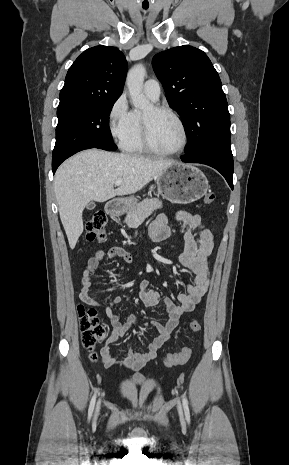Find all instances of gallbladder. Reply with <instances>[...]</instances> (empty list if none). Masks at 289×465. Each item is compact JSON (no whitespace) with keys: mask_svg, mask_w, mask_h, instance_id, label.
Wrapping results in <instances>:
<instances>
[{"mask_svg":"<svg viewBox=\"0 0 289 465\" xmlns=\"http://www.w3.org/2000/svg\"><path fill=\"white\" fill-rule=\"evenodd\" d=\"M94 207H95V203H94V202H90V203H88V205H87V208H88V209H93Z\"/></svg>","mask_w":289,"mask_h":465,"instance_id":"bac80fb5","label":"gallbladder"}]
</instances>
